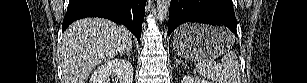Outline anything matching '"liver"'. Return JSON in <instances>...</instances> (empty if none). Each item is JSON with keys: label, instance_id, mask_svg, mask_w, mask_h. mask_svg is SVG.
<instances>
[{"label": "liver", "instance_id": "1", "mask_svg": "<svg viewBox=\"0 0 307 83\" xmlns=\"http://www.w3.org/2000/svg\"><path fill=\"white\" fill-rule=\"evenodd\" d=\"M132 48V35L124 26L103 18L71 24L61 41L62 83H86L100 62Z\"/></svg>", "mask_w": 307, "mask_h": 83}]
</instances>
